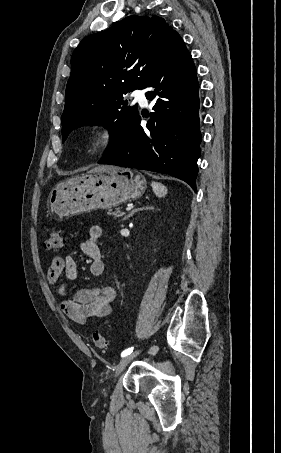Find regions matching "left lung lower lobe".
I'll use <instances>...</instances> for the list:
<instances>
[{"label":"left lung lower lobe","instance_id":"left-lung-lower-lobe-1","mask_svg":"<svg viewBox=\"0 0 281 453\" xmlns=\"http://www.w3.org/2000/svg\"><path fill=\"white\" fill-rule=\"evenodd\" d=\"M192 57L177 35L150 79L147 99L155 103L147 129L141 117L123 138L99 161L169 174L187 182L196 191L199 144V84ZM148 117V116H146Z\"/></svg>","mask_w":281,"mask_h":453}]
</instances>
